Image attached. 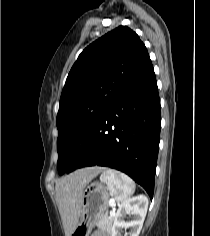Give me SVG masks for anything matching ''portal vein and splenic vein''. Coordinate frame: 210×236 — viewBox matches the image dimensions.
<instances>
[{"label": "portal vein and splenic vein", "instance_id": "obj_1", "mask_svg": "<svg viewBox=\"0 0 210 236\" xmlns=\"http://www.w3.org/2000/svg\"><path fill=\"white\" fill-rule=\"evenodd\" d=\"M113 204V203H112ZM115 206V205H114ZM110 215L113 216L115 215V208L113 207V210L110 212Z\"/></svg>", "mask_w": 210, "mask_h": 236}]
</instances>
